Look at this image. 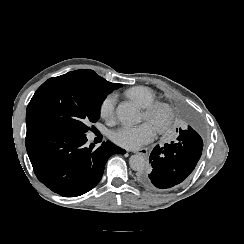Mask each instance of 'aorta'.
Masks as SVG:
<instances>
[{
    "label": "aorta",
    "mask_w": 244,
    "mask_h": 244,
    "mask_svg": "<svg viewBox=\"0 0 244 244\" xmlns=\"http://www.w3.org/2000/svg\"><path fill=\"white\" fill-rule=\"evenodd\" d=\"M116 114L125 125L137 124L142 120L140 110L130 101L121 102L116 109ZM129 164L134 171H143L148 162L143 155L135 154L130 157Z\"/></svg>",
    "instance_id": "1"
}]
</instances>
